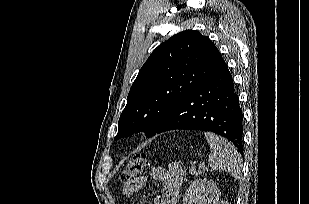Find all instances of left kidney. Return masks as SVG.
I'll return each instance as SVG.
<instances>
[{"label": "left kidney", "mask_w": 309, "mask_h": 204, "mask_svg": "<svg viewBox=\"0 0 309 204\" xmlns=\"http://www.w3.org/2000/svg\"><path fill=\"white\" fill-rule=\"evenodd\" d=\"M219 197L220 191L213 181L198 179L187 189L183 204H218Z\"/></svg>", "instance_id": "left-kidney-1"}]
</instances>
